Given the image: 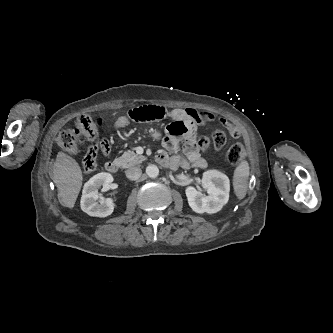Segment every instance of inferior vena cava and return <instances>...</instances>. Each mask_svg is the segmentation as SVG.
I'll return each instance as SVG.
<instances>
[{"label": "inferior vena cava", "instance_id": "obj_1", "mask_svg": "<svg viewBox=\"0 0 333 333\" xmlns=\"http://www.w3.org/2000/svg\"><path fill=\"white\" fill-rule=\"evenodd\" d=\"M126 177L129 180H138L140 176L142 175V170L139 167H131L126 170Z\"/></svg>", "mask_w": 333, "mask_h": 333}]
</instances>
